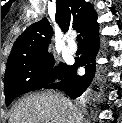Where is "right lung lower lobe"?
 I'll list each match as a JSON object with an SVG mask.
<instances>
[{
  "instance_id": "98d812e1",
  "label": "right lung lower lobe",
  "mask_w": 122,
  "mask_h": 123,
  "mask_svg": "<svg viewBox=\"0 0 122 123\" xmlns=\"http://www.w3.org/2000/svg\"><path fill=\"white\" fill-rule=\"evenodd\" d=\"M98 30L94 31L84 39V54L80 59H77L72 66H69L66 73L60 78L62 80L59 83L47 84L44 87L45 89L58 88L59 90L64 91L72 99H76L83 95L95 79V58L100 47ZM79 66L85 67V75H77Z\"/></svg>"
}]
</instances>
